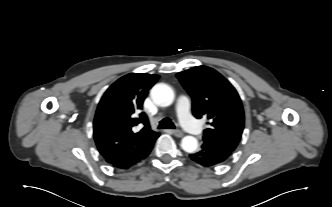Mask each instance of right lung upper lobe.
Masks as SVG:
<instances>
[{
  "label": "right lung upper lobe",
  "instance_id": "obj_1",
  "mask_svg": "<svg viewBox=\"0 0 332 207\" xmlns=\"http://www.w3.org/2000/svg\"><path fill=\"white\" fill-rule=\"evenodd\" d=\"M158 75L130 73L113 83L102 96L95 114L93 133L97 148L108 163L128 169L148 156L159 133L151 130L140 113ZM143 124L139 131L137 127Z\"/></svg>",
  "mask_w": 332,
  "mask_h": 207
}]
</instances>
